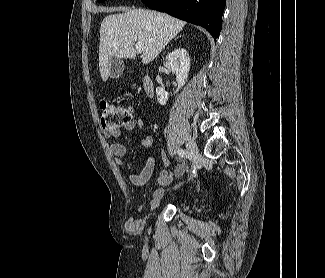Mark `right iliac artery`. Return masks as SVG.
<instances>
[{"label":"right iliac artery","instance_id":"right-iliac-artery-1","mask_svg":"<svg viewBox=\"0 0 325 278\" xmlns=\"http://www.w3.org/2000/svg\"><path fill=\"white\" fill-rule=\"evenodd\" d=\"M177 153L179 156L183 157V158H187L188 157V152L184 149H178Z\"/></svg>","mask_w":325,"mask_h":278}]
</instances>
